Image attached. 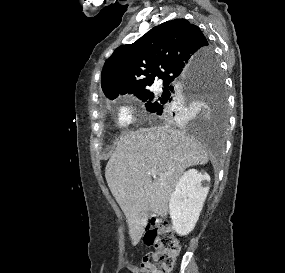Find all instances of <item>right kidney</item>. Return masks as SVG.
Instances as JSON below:
<instances>
[{
    "label": "right kidney",
    "mask_w": 285,
    "mask_h": 273,
    "mask_svg": "<svg viewBox=\"0 0 285 273\" xmlns=\"http://www.w3.org/2000/svg\"><path fill=\"white\" fill-rule=\"evenodd\" d=\"M210 176L190 169L178 180L169 202L173 229L180 236L195 227L209 191Z\"/></svg>",
    "instance_id": "right-kidney-1"
}]
</instances>
